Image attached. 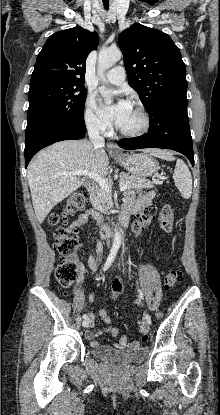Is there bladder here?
Segmentation results:
<instances>
[{"mask_svg": "<svg viewBox=\"0 0 220 415\" xmlns=\"http://www.w3.org/2000/svg\"><path fill=\"white\" fill-rule=\"evenodd\" d=\"M93 355L104 362L113 365H130L143 361L148 354V349L141 347L123 351H116L105 347H93Z\"/></svg>", "mask_w": 220, "mask_h": 415, "instance_id": "1", "label": "bladder"}]
</instances>
